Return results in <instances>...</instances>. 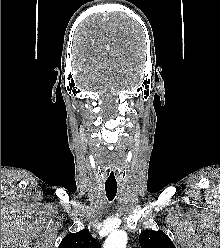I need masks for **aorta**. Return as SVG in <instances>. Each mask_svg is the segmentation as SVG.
I'll use <instances>...</instances> for the list:
<instances>
[{
	"label": "aorta",
	"mask_w": 220,
	"mask_h": 248,
	"mask_svg": "<svg viewBox=\"0 0 220 248\" xmlns=\"http://www.w3.org/2000/svg\"><path fill=\"white\" fill-rule=\"evenodd\" d=\"M127 233L114 231L106 239L103 248H126Z\"/></svg>",
	"instance_id": "obj_1"
}]
</instances>
